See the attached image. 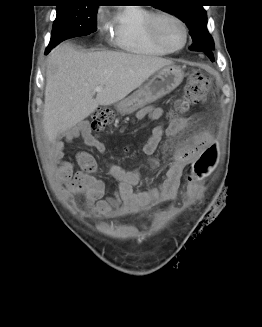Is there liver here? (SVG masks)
<instances>
[{"label": "liver", "mask_w": 262, "mask_h": 327, "mask_svg": "<svg viewBox=\"0 0 262 327\" xmlns=\"http://www.w3.org/2000/svg\"><path fill=\"white\" fill-rule=\"evenodd\" d=\"M172 61L124 52H79L58 45L47 61L43 128L49 142L92 114L124 99ZM100 86L94 98V88Z\"/></svg>", "instance_id": "obj_1"}]
</instances>
